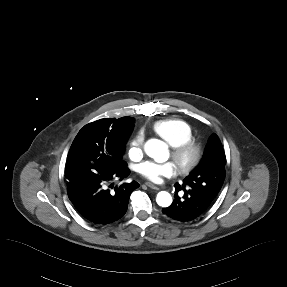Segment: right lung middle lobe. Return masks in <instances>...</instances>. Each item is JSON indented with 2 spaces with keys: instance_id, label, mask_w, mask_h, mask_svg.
I'll return each mask as SVG.
<instances>
[{
  "instance_id": "obj_1",
  "label": "right lung middle lobe",
  "mask_w": 287,
  "mask_h": 287,
  "mask_svg": "<svg viewBox=\"0 0 287 287\" xmlns=\"http://www.w3.org/2000/svg\"><path fill=\"white\" fill-rule=\"evenodd\" d=\"M127 139L110 143L106 142L99 138L87 124L75 137L70 147L67 161L80 157H90L113 167L126 165L122 160V156Z\"/></svg>"
}]
</instances>
